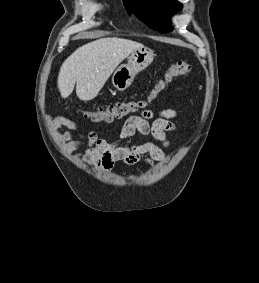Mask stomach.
Instances as JSON below:
<instances>
[{
	"label": "stomach",
	"instance_id": "obj_1",
	"mask_svg": "<svg viewBox=\"0 0 259 283\" xmlns=\"http://www.w3.org/2000/svg\"><path fill=\"white\" fill-rule=\"evenodd\" d=\"M154 52L146 47L133 51L128 57V63L120 65L112 76V83L118 90L128 88L135 76L152 63Z\"/></svg>",
	"mask_w": 259,
	"mask_h": 283
}]
</instances>
